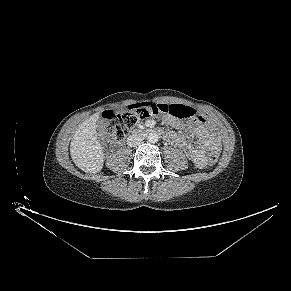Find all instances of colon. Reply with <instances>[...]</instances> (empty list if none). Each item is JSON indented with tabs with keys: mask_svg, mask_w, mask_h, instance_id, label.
Here are the masks:
<instances>
[{
	"mask_svg": "<svg viewBox=\"0 0 291 291\" xmlns=\"http://www.w3.org/2000/svg\"><path fill=\"white\" fill-rule=\"evenodd\" d=\"M160 115H169L179 119L200 117L193 108L182 104L143 103L129 106L122 112L105 111L98 125L99 136L122 139L139 121ZM218 158V153L212 152L208 156V163L213 165Z\"/></svg>",
	"mask_w": 291,
	"mask_h": 291,
	"instance_id": "obj_1",
	"label": "colon"
}]
</instances>
